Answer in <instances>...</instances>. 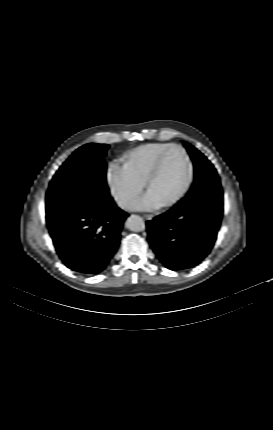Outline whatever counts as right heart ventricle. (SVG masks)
Here are the masks:
<instances>
[{"label":"right heart ventricle","mask_w":273,"mask_h":430,"mask_svg":"<svg viewBox=\"0 0 273 430\" xmlns=\"http://www.w3.org/2000/svg\"><path fill=\"white\" fill-rule=\"evenodd\" d=\"M170 145V143L163 142L142 144L123 155V165L135 178L145 183L157 157Z\"/></svg>","instance_id":"1"}]
</instances>
